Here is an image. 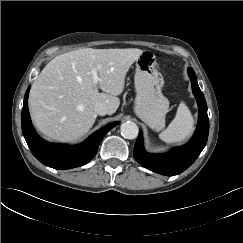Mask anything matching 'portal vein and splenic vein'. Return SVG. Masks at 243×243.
I'll use <instances>...</instances> for the list:
<instances>
[{"label": "portal vein and splenic vein", "mask_w": 243, "mask_h": 243, "mask_svg": "<svg viewBox=\"0 0 243 243\" xmlns=\"http://www.w3.org/2000/svg\"><path fill=\"white\" fill-rule=\"evenodd\" d=\"M91 75L93 77V81L95 84H97L100 80V78L98 77V74H97V69H92L91 70Z\"/></svg>", "instance_id": "portal-vein-and-splenic-vein-1"}]
</instances>
